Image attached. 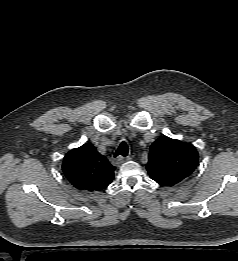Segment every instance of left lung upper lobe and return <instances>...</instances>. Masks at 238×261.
I'll list each match as a JSON object with an SVG mask.
<instances>
[{
  "label": "left lung upper lobe",
  "mask_w": 238,
  "mask_h": 261,
  "mask_svg": "<svg viewBox=\"0 0 238 261\" xmlns=\"http://www.w3.org/2000/svg\"><path fill=\"white\" fill-rule=\"evenodd\" d=\"M198 159L193 145L163 136L151 145L146 168L154 181L172 186L195 170Z\"/></svg>",
  "instance_id": "1"
}]
</instances>
